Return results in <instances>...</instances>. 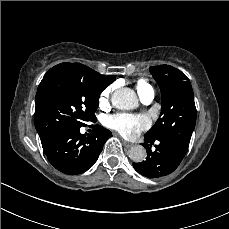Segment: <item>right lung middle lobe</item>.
<instances>
[{
  "label": "right lung middle lobe",
  "instance_id": "right-lung-middle-lobe-1",
  "mask_svg": "<svg viewBox=\"0 0 229 229\" xmlns=\"http://www.w3.org/2000/svg\"><path fill=\"white\" fill-rule=\"evenodd\" d=\"M99 95L76 72L51 68L36 94L34 122L42 145L64 128L96 121Z\"/></svg>",
  "mask_w": 229,
  "mask_h": 229
}]
</instances>
